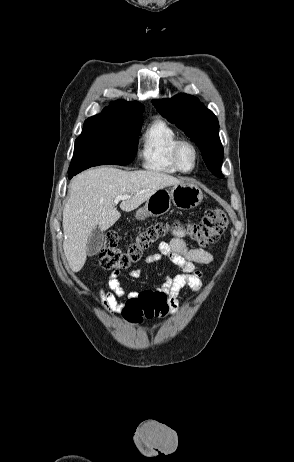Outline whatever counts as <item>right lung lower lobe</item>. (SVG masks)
I'll list each match as a JSON object with an SVG mask.
<instances>
[{
  "instance_id": "obj_1",
  "label": "right lung lower lobe",
  "mask_w": 294,
  "mask_h": 462,
  "mask_svg": "<svg viewBox=\"0 0 294 462\" xmlns=\"http://www.w3.org/2000/svg\"><path fill=\"white\" fill-rule=\"evenodd\" d=\"M73 176H74V174H72V175H68L69 179H71Z\"/></svg>"
}]
</instances>
